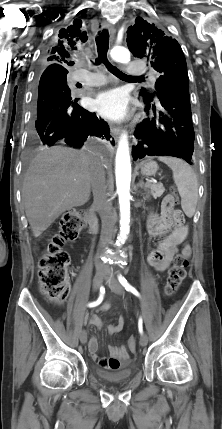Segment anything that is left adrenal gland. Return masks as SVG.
<instances>
[{"label":"left adrenal gland","instance_id":"obj_1","mask_svg":"<svg viewBox=\"0 0 222 429\" xmlns=\"http://www.w3.org/2000/svg\"><path fill=\"white\" fill-rule=\"evenodd\" d=\"M137 188H141V189H143L144 191H145V194H146V198L148 197V193H149V191H148V189H147V186H145L144 185V181L141 179L140 181H139V183L137 184Z\"/></svg>","mask_w":222,"mask_h":429}]
</instances>
